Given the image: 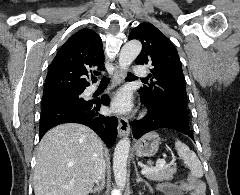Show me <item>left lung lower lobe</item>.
Masks as SVG:
<instances>
[{"label":"left lung lower lobe","mask_w":240,"mask_h":195,"mask_svg":"<svg viewBox=\"0 0 240 195\" xmlns=\"http://www.w3.org/2000/svg\"><path fill=\"white\" fill-rule=\"evenodd\" d=\"M148 108V112L141 120H134L130 123V128L135 139L159 128H169L193 138V133L188 122V113L176 108Z\"/></svg>","instance_id":"obj_1"}]
</instances>
